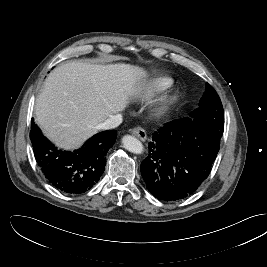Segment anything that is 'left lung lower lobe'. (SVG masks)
Returning a JSON list of instances; mask_svg holds the SVG:
<instances>
[{"mask_svg":"<svg viewBox=\"0 0 267 267\" xmlns=\"http://www.w3.org/2000/svg\"><path fill=\"white\" fill-rule=\"evenodd\" d=\"M224 128L193 117L166 123L152 134L141 174L159 200L188 197L208 177Z\"/></svg>","mask_w":267,"mask_h":267,"instance_id":"1","label":"left lung lower lobe"}]
</instances>
